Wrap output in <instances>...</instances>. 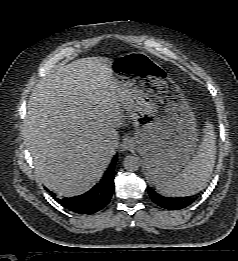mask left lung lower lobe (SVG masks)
<instances>
[{
	"mask_svg": "<svg viewBox=\"0 0 238 261\" xmlns=\"http://www.w3.org/2000/svg\"><path fill=\"white\" fill-rule=\"evenodd\" d=\"M148 193L154 203L168 210H179L190 205L194 199L191 197L170 198L158 194L154 189L148 187Z\"/></svg>",
	"mask_w": 238,
	"mask_h": 261,
	"instance_id": "0a47b994",
	"label": "left lung lower lobe"
}]
</instances>
